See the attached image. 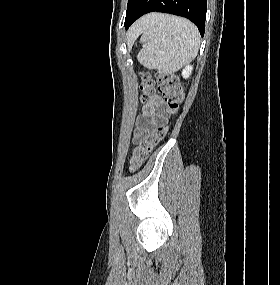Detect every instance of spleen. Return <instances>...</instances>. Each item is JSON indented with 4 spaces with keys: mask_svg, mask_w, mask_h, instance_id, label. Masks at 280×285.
Returning <instances> with one entry per match:
<instances>
[{
    "mask_svg": "<svg viewBox=\"0 0 280 285\" xmlns=\"http://www.w3.org/2000/svg\"><path fill=\"white\" fill-rule=\"evenodd\" d=\"M143 48L138 61L148 69L172 73L189 63L200 45L196 26L187 19L152 14L141 26Z\"/></svg>",
    "mask_w": 280,
    "mask_h": 285,
    "instance_id": "spleen-1",
    "label": "spleen"
}]
</instances>
